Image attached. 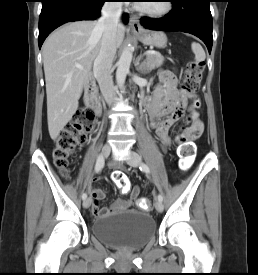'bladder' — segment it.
Returning a JSON list of instances; mask_svg holds the SVG:
<instances>
[{
	"instance_id": "obj_1",
	"label": "bladder",
	"mask_w": 258,
	"mask_h": 275,
	"mask_svg": "<svg viewBox=\"0 0 258 275\" xmlns=\"http://www.w3.org/2000/svg\"><path fill=\"white\" fill-rule=\"evenodd\" d=\"M92 232L117 248H141L155 237L156 222L149 214L125 210L96 218L92 222Z\"/></svg>"
}]
</instances>
